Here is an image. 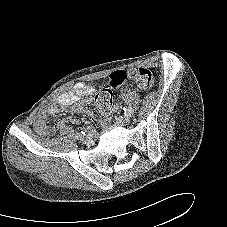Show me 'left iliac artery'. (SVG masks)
<instances>
[{"mask_svg": "<svg viewBox=\"0 0 227 227\" xmlns=\"http://www.w3.org/2000/svg\"><path fill=\"white\" fill-rule=\"evenodd\" d=\"M124 111H125V115H129V116H131L134 113V110L132 107L124 108Z\"/></svg>", "mask_w": 227, "mask_h": 227, "instance_id": "obj_1", "label": "left iliac artery"}]
</instances>
